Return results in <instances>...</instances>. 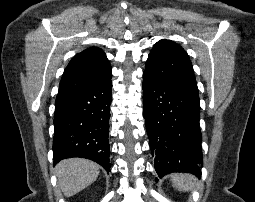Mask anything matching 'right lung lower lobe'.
Listing matches in <instances>:
<instances>
[{
	"instance_id": "98d812e1",
	"label": "right lung lower lobe",
	"mask_w": 255,
	"mask_h": 202,
	"mask_svg": "<svg viewBox=\"0 0 255 202\" xmlns=\"http://www.w3.org/2000/svg\"><path fill=\"white\" fill-rule=\"evenodd\" d=\"M111 101V79L96 86L59 92L54 114V164L65 158L82 157L109 172Z\"/></svg>"
}]
</instances>
